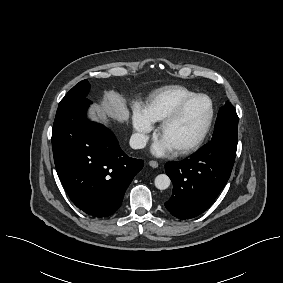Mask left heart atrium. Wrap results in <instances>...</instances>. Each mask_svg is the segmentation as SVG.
I'll return each instance as SVG.
<instances>
[{
    "instance_id": "left-heart-atrium-1",
    "label": "left heart atrium",
    "mask_w": 283,
    "mask_h": 283,
    "mask_svg": "<svg viewBox=\"0 0 283 283\" xmlns=\"http://www.w3.org/2000/svg\"><path fill=\"white\" fill-rule=\"evenodd\" d=\"M152 151L157 156H164L173 151V148L164 140L159 139L152 147Z\"/></svg>"
}]
</instances>
